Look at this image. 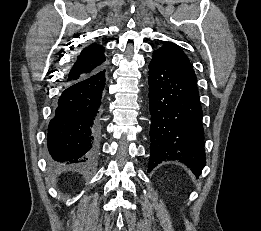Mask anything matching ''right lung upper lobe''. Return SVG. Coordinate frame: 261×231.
I'll list each match as a JSON object with an SVG mask.
<instances>
[{"mask_svg": "<svg viewBox=\"0 0 261 231\" xmlns=\"http://www.w3.org/2000/svg\"><path fill=\"white\" fill-rule=\"evenodd\" d=\"M104 48L96 43L84 48L68 73L65 82L70 83L88 76L104 66Z\"/></svg>", "mask_w": 261, "mask_h": 231, "instance_id": "right-lung-upper-lobe-1", "label": "right lung upper lobe"}]
</instances>
